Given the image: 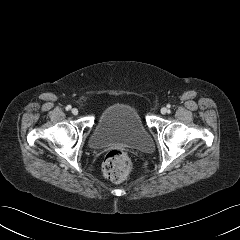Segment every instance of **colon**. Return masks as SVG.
<instances>
[{"instance_id": "1", "label": "colon", "mask_w": 240, "mask_h": 240, "mask_svg": "<svg viewBox=\"0 0 240 240\" xmlns=\"http://www.w3.org/2000/svg\"><path fill=\"white\" fill-rule=\"evenodd\" d=\"M133 168L130 157L121 150L109 151L102 163V173L105 178L120 182L128 177Z\"/></svg>"}]
</instances>
